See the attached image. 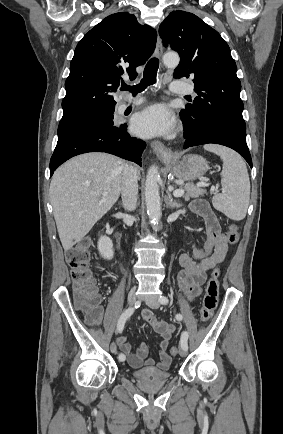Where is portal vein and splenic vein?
<instances>
[{
    "label": "portal vein and splenic vein",
    "mask_w": 283,
    "mask_h": 434,
    "mask_svg": "<svg viewBox=\"0 0 283 434\" xmlns=\"http://www.w3.org/2000/svg\"><path fill=\"white\" fill-rule=\"evenodd\" d=\"M206 181H207V180H206ZM206 181L199 182L197 185H198V186H208L209 184L206 183ZM183 194H184V190H183V189H178V190H174V191H173V195H174L175 197H181V196H183ZM102 195H103V197H106V196H107V193L104 192Z\"/></svg>",
    "instance_id": "obj_1"
}]
</instances>
